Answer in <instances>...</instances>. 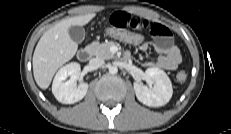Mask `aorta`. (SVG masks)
Segmentation results:
<instances>
[{"label": "aorta", "instance_id": "obj_1", "mask_svg": "<svg viewBox=\"0 0 231 134\" xmlns=\"http://www.w3.org/2000/svg\"><path fill=\"white\" fill-rule=\"evenodd\" d=\"M118 68L116 66H110L109 67V73L110 74H117Z\"/></svg>", "mask_w": 231, "mask_h": 134}]
</instances>
